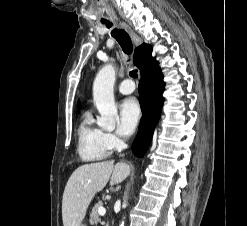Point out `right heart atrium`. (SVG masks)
<instances>
[{"label":"right heart atrium","instance_id":"1","mask_svg":"<svg viewBox=\"0 0 247 226\" xmlns=\"http://www.w3.org/2000/svg\"><path fill=\"white\" fill-rule=\"evenodd\" d=\"M104 137L107 145L110 148L116 147L119 144L117 136L112 132H104Z\"/></svg>","mask_w":247,"mask_h":226}]
</instances>
